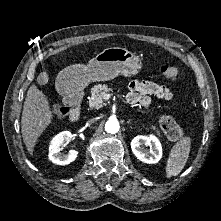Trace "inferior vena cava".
Returning <instances> with one entry per match:
<instances>
[{
	"label": "inferior vena cava",
	"mask_w": 221,
	"mask_h": 221,
	"mask_svg": "<svg viewBox=\"0 0 221 221\" xmlns=\"http://www.w3.org/2000/svg\"><path fill=\"white\" fill-rule=\"evenodd\" d=\"M90 123L94 122V118L89 120Z\"/></svg>",
	"instance_id": "obj_1"
}]
</instances>
